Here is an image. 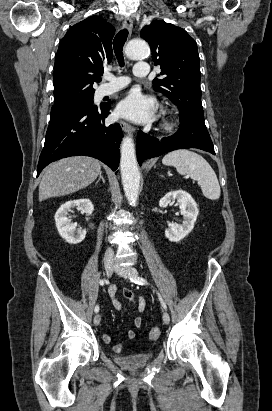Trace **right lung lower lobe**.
<instances>
[{"instance_id":"obj_1","label":"right lung lower lobe","mask_w":272,"mask_h":411,"mask_svg":"<svg viewBox=\"0 0 272 411\" xmlns=\"http://www.w3.org/2000/svg\"><path fill=\"white\" fill-rule=\"evenodd\" d=\"M110 107V103L90 104L51 116L37 176L49 163L76 155L97 158L115 171L123 134L118 123H105Z\"/></svg>"}]
</instances>
